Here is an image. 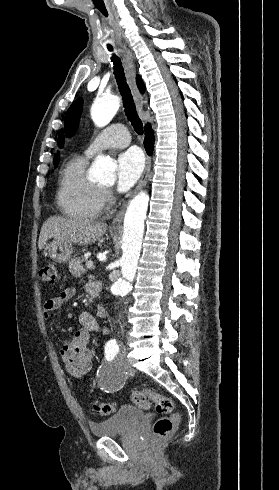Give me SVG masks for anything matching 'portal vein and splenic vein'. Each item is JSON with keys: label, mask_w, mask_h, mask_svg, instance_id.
Returning <instances> with one entry per match:
<instances>
[{"label": "portal vein and splenic vein", "mask_w": 279, "mask_h": 490, "mask_svg": "<svg viewBox=\"0 0 279 490\" xmlns=\"http://www.w3.org/2000/svg\"><path fill=\"white\" fill-rule=\"evenodd\" d=\"M86 268H93V262H86Z\"/></svg>", "instance_id": "1"}]
</instances>
